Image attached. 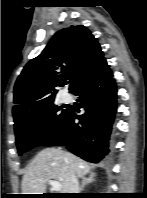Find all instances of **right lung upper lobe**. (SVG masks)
Wrapping results in <instances>:
<instances>
[{
	"label": "right lung upper lobe",
	"mask_w": 147,
	"mask_h": 198,
	"mask_svg": "<svg viewBox=\"0 0 147 198\" xmlns=\"http://www.w3.org/2000/svg\"><path fill=\"white\" fill-rule=\"evenodd\" d=\"M103 52L83 25L70 26L55 33L43 52L30 60L14 87V122L54 102L64 77L71 81L69 90L91 76L103 63Z\"/></svg>",
	"instance_id": "obj_1"
}]
</instances>
